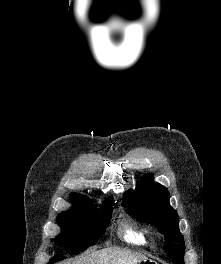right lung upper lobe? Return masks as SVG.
<instances>
[{"mask_svg": "<svg viewBox=\"0 0 221 264\" xmlns=\"http://www.w3.org/2000/svg\"><path fill=\"white\" fill-rule=\"evenodd\" d=\"M113 199V198H108ZM70 200L73 203V207L71 210H83L89 206H91V203L89 202V199L83 195L72 193L70 195Z\"/></svg>", "mask_w": 221, "mask_h": 264, "instance_id": "1", "label": "right lung upper lobe"}]
</instances>
